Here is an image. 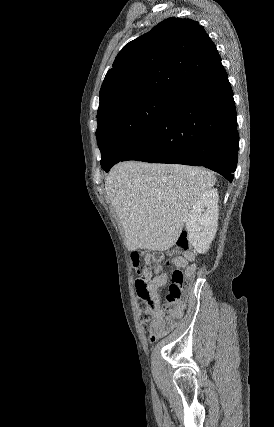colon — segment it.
Listing matches in <instances>:
<instances>
[{"mask_svg":"<svg viewBox=\"0 0 274 427\" xmlns=\"http://www.w3.org/2000/svg\"><path fill=\"white\" fill-rule=\"evenodd\" d=\"M175 247L179 249L189 247V230H180V234L175 236ZM149 261L151 260L148 257L142 256L141 250L136 249L133 251L131 263L134 268V273L140 275L138 279L133 280V291L138 292L139 297H143L139 306V319L144 326H147L152 318V313H155L157 310L154 301L150 298L149 294H147ZM188 279L187 271L181 268L173 269L171 281L164 295V299L167 303L174 304L181 298ZM152 338H155V336L151 337V342Z\"/></svg>","mask_w":274,"mask_h":427,"instance_id":"colon-1","label":"colon"}]
</instances>
